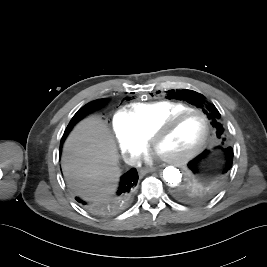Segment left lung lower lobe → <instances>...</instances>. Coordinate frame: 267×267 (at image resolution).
<instances>
[{
    "label": "left lung lower lobe",
    "instance_id": "left-lung-lower-lobe-1",
    "mask_svg": "<svg viewBox=\"0 0 267 267\" xmlns=\"http://www.w3.org/2000/svg\"><path fill=\"white\" fill-rule=\"evenodd\" d=\"M190 185L183 189L187 201L205 199L224 188V179L233 168V149L226 139L215 143V150L204 151L188 163Z\"/></svg>",
    "mask_w": 267,
    "mask_h": 267
}]
</instances>
